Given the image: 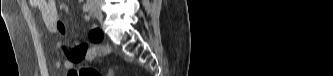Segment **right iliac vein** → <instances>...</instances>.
Returning a JSON list of instances; mask_svg holds the SVG:
<instances>
[{"instance_id":"obj_1","label":"right iliac vein","mask_w":333,"mask_h":76,"mask_svg":"<svg viewBox=\"0 0 333 76\" xmlns=\"http://www.w3.org/2000/svg\"><path fill=\"white\" fill-rule=\"evenodd\" d=\"M91 9H92L93 13L95 14V16L97 17V19L102 21L103 16H102L100 7L96 4H91Z\"/></svg>"}]
</instances>
